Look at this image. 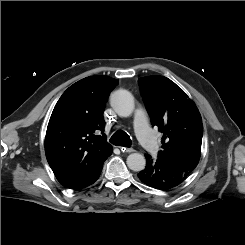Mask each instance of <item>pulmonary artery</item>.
<instances>
[{"mask_svg": "<svg viewBox=\"0 0 245 245\" xmlns=\"http://www.w3.org/2000/svg\"><path fill=\"white\" fill-rule=\"evenodd\" d=\"M134 128L144 149L149 153H155L158 149V143L149 126L147 115L141 109L137 110L134 115Z\"/></svg>", "mask_w": 245, "mask_h": 245, "instance_id": "e3ab8cb5", "label": "pulmonary artery"}]
</instances>
